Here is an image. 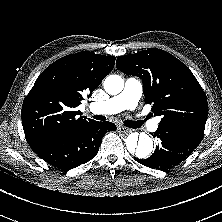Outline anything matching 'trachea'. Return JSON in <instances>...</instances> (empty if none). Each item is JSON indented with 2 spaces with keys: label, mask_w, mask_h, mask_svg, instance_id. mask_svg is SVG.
I'll list each match as a JSON object with an SVG mask.
<instances>
[{
  "label": "trachea",
  "mask_w": 222,
  "mask_h": 222,
  "mask_svg": "<svg viewBox=\"0 0 222 222\" xmlns=\"http://www.w3.org/2000/svg\"><path fill=\"white\" fill-rule=\"evenodd\" d=\"M93 118L96 119V120H100V121L106 120V117L102 116V115H96ZM124 124L127 127H129V128H139V127L142 126L143 122L142 121H130V120H127V121L124 122Z\"/></svg>",
  "instance_id": "1"
}]
</instances>
